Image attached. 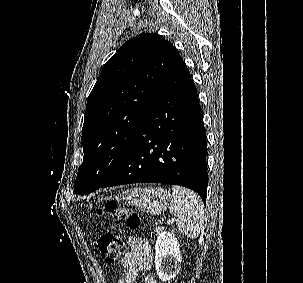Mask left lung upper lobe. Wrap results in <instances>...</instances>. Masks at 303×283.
Wrapping results in <instances>:
<instances>
[{"mask_svg":"<svg viewBox=\"0 0 303 283\" xmlns=\"http://www.w3.org/2000/svg\"><path fill=\"white\" fill-rule=\"evenodd\" d=\"M178 56L163 36L146 33L127 41L107 61L87 101L77 194L99 188L115 173Z\"/></svg>","mask_w":303,"mask_h":283,"instance_id":"left-lung-upper-lobe-1","label":"left lung upper lobe"}]
</instances>
